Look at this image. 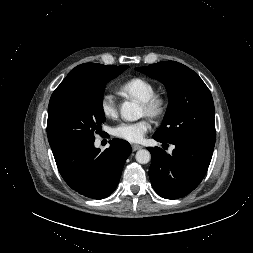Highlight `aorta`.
<instances>
[{
    "mask_svg": "<svg viewBox=\"0 0 253 253\" xmlns=\"http://www.w3.org/2000/svg\"><path fill=\"white\" fill-rule=\"evenodd\" d=\"M121 116L128 121H136L142 117V109L135 101H125L121 105ZM136 161L140 164H147L151 159V154L146 149L137 151Z\"/></svg>",
    "mask_w": 253,
    "mask_h": 253,
    "instance_id": "1",
    "label": "aorta"
}]
</instances>
